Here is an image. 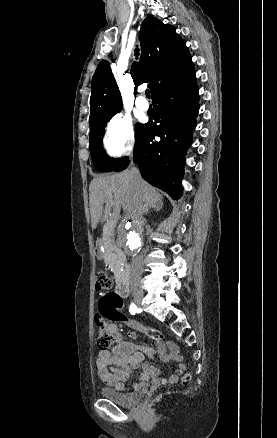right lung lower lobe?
<instances>
[{"label": "right lung lower lobe", "mask_w": 277, "mask_h": 438, "mask_svg": "<svg viewBox=\"0 0 277 438\" xmlns=\"http://www.w3.org/2000/svg\"><path fill=\"white\" fill-rule=\"evenodd\" d=\"M198 99L199 90L193 68L183 77L164 84L152 96L160 125L148 122L136 138L134 160L139 164L142 177L173 199L182 195L184 155L196 127ZM155 136L161 140L155 141ZM128 164L126 158L114 171H122Z\"/></svg>", "instance_id": "right-lung-lower-lobe-1"}]
</instances>
